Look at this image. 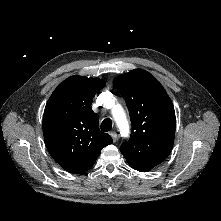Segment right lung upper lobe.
I'll use <instances>...</instances> for the list:
<instances>
[{"mask_svg":"<svg viewBox=\"0 0 221 221\" xmlns=\"http://www.w3.org/2000/svg\"><path fill=\"white\" fill-rule=\"evenodd\" d=\"M105 86L97 78L72 76L50 96L43 116V134L51 157L65 170L80 174L89 170L112 144L99 130V117L92 111L95 94Z\"/></svg>","mask_w":221,"mask_h":221,"instance_id":"right-lung-upper-lobe-1","label":"right lung upper lobe"}]
</instances>
